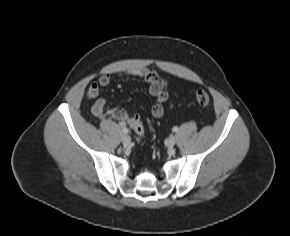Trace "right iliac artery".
<instances>
[{
    "mask_svg": "<svg viewBox=\"0 0 290 236\" xmlns=\"http://www.w3.org/2000/svg\"><path fill=\"white\" fill-rule=\"evenodd\" d=\"M122 131H123L124 133H128V129L125 128V125H122Z\"/></svg>",
    "mask_w": 290,
    "mask_h": 236,
    "instance_id": "obj_1",
    "label": "right iliac artery"
}]
</instances>
